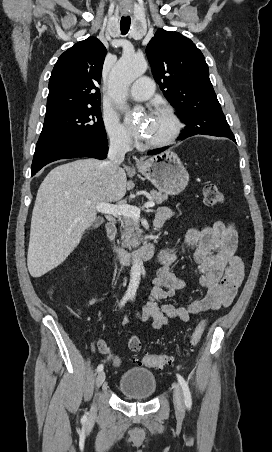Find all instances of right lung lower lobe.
Wrapping results in <instances>:
<instances>
[{"label":"right lung lower lobe","mask_w":272,"mask_h":452,"mask_svg":"<svg viewBox=\"0 0 272 452\" xmlns=\"http://www.w3.org/2000/svg\"><path fill=\"white\" fill-rule=\"evenodd\" d=\"M108 153L107 138L95 141L90 139H66L37 142L31 167V176L42 167L59 159L91 157L105 159Z\"/></svg>","instance_id":"98d812e1"}]
</instances>
